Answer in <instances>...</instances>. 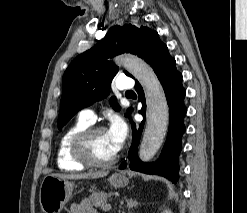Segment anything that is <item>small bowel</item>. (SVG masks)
<instances>
[{"mask_svg": "<svg viewBox=\"0 0 247 213\" xmlns=\"http://www.w3.org/2000/svg\"><path fill=\"white\" fill-rule=\"evenodd\" d=\"M71 213H96L90 200H83L79 203H73L70 206Z\"/></svg>", "mask_w": 247, "mask_h": 213, "instance_id": "obj_1", "label": "small bowel"}]
</instances>
